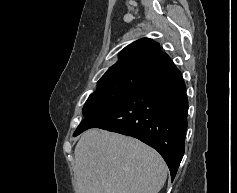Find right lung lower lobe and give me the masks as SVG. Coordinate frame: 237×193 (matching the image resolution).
<instances>
[{"mask_svg":"<svg viewBox=\"0 0 237 193\" xmlns=\"http://www.w3.org/2000/svg\"><path fill=\"white\" fill-rule=\"evenodd\" d=\"M188 99L179 69L164 53L152 63L138 88L108 111L84 119L74 136L101 128L135 137L156 149L173 180L184 155Z\"/></svg>","mask_w":237,"mask_h":193,"instance_id":"right-lung-lower-lobe-1","label":"right lung lower lobe"}]
</instances>
